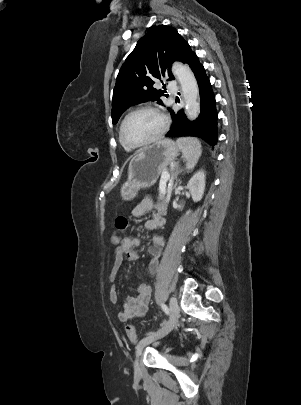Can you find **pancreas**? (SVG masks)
I'll return each mask as SVG.
<instances>
[{
  "label": "pancreas",
  "instance_id": "1",
  "mask_svg": "<svg viewBox=\"0 0 301 405\" xmlns=\"http://www.w3.org/2000/svg\"><path fill=\"white\" fill-rule=\"evenodd\" d=\"M165 171L166 170L164 169L162 171V173L165 172ZM168 203H169V197L160 192V194L158 196V202H157V205H156V208L159 210V212L165 213L166 210H167Z\"/></svg>",
  "mask_w": 301,
  "mask_h": 405
}]
</instances>
